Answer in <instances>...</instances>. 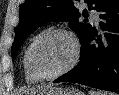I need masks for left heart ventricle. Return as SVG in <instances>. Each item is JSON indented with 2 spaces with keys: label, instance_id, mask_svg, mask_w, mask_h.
Wrapping results in <instances>:
<instances>
[{
  "label": "left heart ventricle",
  "instance_id": "left-heart-ventricle-1",
  "mask_svg": "<svg viewBox=\"0 0 119 95\" xmlns=\"http://www.w3.org/2000/svg\"><path fill=\"white\" fill-rule=\"evenodd\" d=\"M74 46L64 35H52L41 40L33 53L34 65L45 75L54 74L63 69L72 59Z\"/></svg>",
  "mask_w": 119,
  "mask_h": 95
}]
</instances>
